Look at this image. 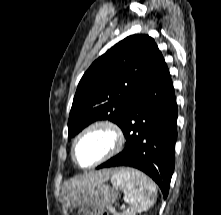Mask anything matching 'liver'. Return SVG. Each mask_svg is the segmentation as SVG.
I'll return each mask as SVG.
<instances>
[{
    "label": "liver",
    "mask_w": 221,
    "mask_h": 215,
    "mask_svg": "<svg viewBox=\"0 0 221 215\" xmlns=\"http://www.w3.org/2000/svg\"><path fill=\"white\" fill-rule=\"evenodd\" d=\"M115 172L110 169H104L98 172L86 174L81 177H76L66 182L65 186L67 189H82L91 187L97 184L104 183L111 175Z\"/></svg>",
    "instance_id": "1"
}]
</instances>
